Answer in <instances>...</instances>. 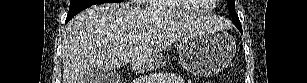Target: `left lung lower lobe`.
<instances>
[{"label": "left lung lower lobe", "mask_w": 307, "mask_h": 83, "mask_svg": "<svg viewBox=\"0 0 307 83\" xmlns=\"http://www.w3.org/2000/svg\"><path fill=\"white\" fill-rule=\"evenodd\" d=\"M238 29L240 30V32H242V27H238Z\"/></svg>", "instance_id": "obj_1"}]
</instances>
